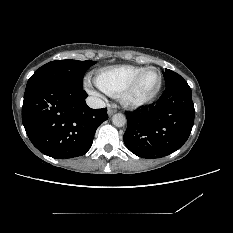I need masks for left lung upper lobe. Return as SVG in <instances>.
Here are the masks:
<instances>
[{"label":"left lung upper lobe","mask_w":233,"mask_h":233,"mask_svg":"<svg viewBox=\"0 0 233 233\" xmlns=\"http://www.w3.org/2000/svg\"><path fill=\"white\" fill-rule=\"evenodd\" d=\"M163 76L165 79V86L166 87L172 85L173 83H175L178 80L183 79V77H181L179 74H177L176 72L169 70V69H165V72H163Z\"/></svg>","instance_id":"5c2ea615"}]
</instances>
